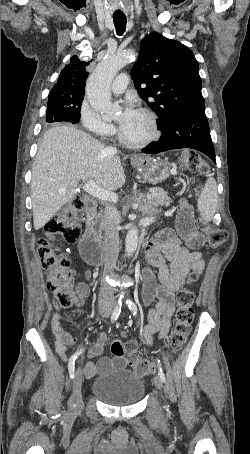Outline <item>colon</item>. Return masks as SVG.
<instances>
[{
    "instance_id": "colon-1",
    "label": "colon",
    "mask_w": 250,
    "mask_h": 454,
    "mask_svg": "<svg viewBox=\"0 0 250 454\" xmlns=\"http://www.w3.org/2000/svg\"><path fill=\"white\" fill-rule=\"evenodd\" d=\"M181 165L185 170L207 175L208 164L194 151H186L181 156ZM201 188H197L199 193ZM84 208V201L75 197L71 204L53 217L46 225V237L38 241V255L46 273V287L53 293L56 303L61 307L68 308L75 302L72 281L75 272L71 268V259L65 252H61L53 244L52 240L59 236L64 242L73 243L80 235L78 212ZM200 225L207 234L208 245L212 249L220 247L225 239V230L218 227H209L203 221ZM197 273L192 272L189 282L195 281ZM193 292L189 288H182L176 293V312L173 331L170 336L172 351H180L192 330L194 312L192 304ZM111 352L114 356L127 355L129 365L139 375H149L154 372V364L136 351L134 344H125L120 340L111 343Z\"/></svg>"
}]
</instances>
